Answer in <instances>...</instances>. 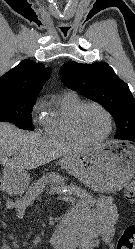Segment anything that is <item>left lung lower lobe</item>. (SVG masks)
Masks as SVG:
<instances>
[{
    "instance_id": "obj_1",
    "label": "left lung lower lobe",
    "mask_w": 135,
    "mask_h": 249,
    "mask_svg": "<svg viewBox=\"0 0 135 249\" xmlns=\"http://www.w3.org/2000/svg\"><path fill=\"white\" fill-rule=\"evenodd\" d=\"M130 141H133V142H135V138H131V139H129Z\"/></svg>"
}]
</instances>
